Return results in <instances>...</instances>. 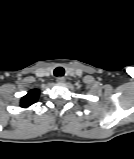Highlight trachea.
<instances>
[{
  "label": "trachea",
  "mask_w": 134,
  "mask_h": 159,
  "mask_svg": "<svg viewBox=\"0 0 134 159\" xmlns=\"http://www.w3.org/2000/svg\"><path fill=\"white\" fill-rule=\"evenodd\" d=\"M65 73V70L63 67H57L55 70H54V75L57 76V77H61L63 76Z\"/></svg>",
  "instance_id": "1"
}]
</instances>
